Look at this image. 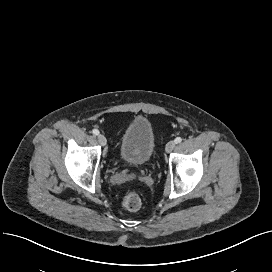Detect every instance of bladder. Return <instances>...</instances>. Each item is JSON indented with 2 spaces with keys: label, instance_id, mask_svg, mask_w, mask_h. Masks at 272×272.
<instances>
[{
  "label": "bladder",
  "instance_id": "31cf9c89",
  "mask_svg": "<svg viewBox=\"0 0 272 272\" xmlns=\"http://www.w3.org/2000/svg\"><path fill=\"white\" fill-rule=\"evenodd\" d=\"M156 139L150 120L139 116L125 128L120 145L119 158L132 165L147 164L155 150Z\"/></svg>",
  "mask_w": 272,
  "mask_h": 272
}]
</instances>
